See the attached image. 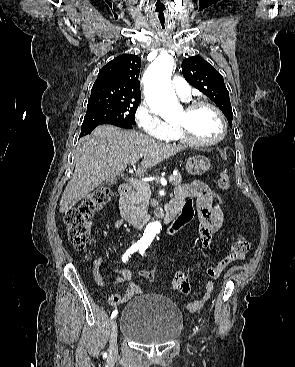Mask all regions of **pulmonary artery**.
I'll return each instance as SVG.
<instances>
[{
  "instance_id": "obj_1",
  "label": "pulmonary artery",
  "mask_w": 295,
  "mask_h": 367,
  "mask_svg": "<svg viewBox=\"0 0 295 367\" xmlns=\"http://www.w3.org/2000/svg\"><path fill=\"white\" fill-rule=\"evenodd\" d=\"M173 86L177 95L183 99L188 100L191 96V88L184 78L176 76L173 79Z\"/></svg>"
}]
</instances>
